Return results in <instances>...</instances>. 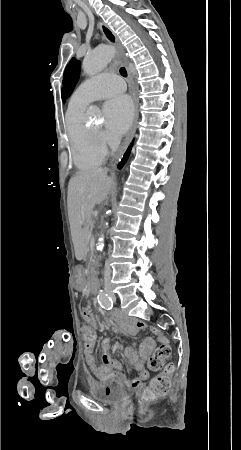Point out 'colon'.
<instances>
[{
	"instance_id": "1",
	"label": "colon",
	"mask_w": 241,
	"mask_h": 450,
	"mask_svg": "<svg viewBox=\"0 0 241 450\" xmlns=\"http://www.w3.org/2000/svg\"><path fill=\"white\" fill-rule=\"evenodd\" d=\"M98 338L93 335V329L86 327L79 331V342L84 346L85 351H92L93 347L97 345ZM170 355V349L167 345H160L153 355V371L160 370L163 361ZM174 366L171 363L166 364L165 370L162 374L155 377L151 383L143 389L140 395V402L147 405L162 399L170 388V372L173 371Z\"/></svg>"
}]
</instances>
